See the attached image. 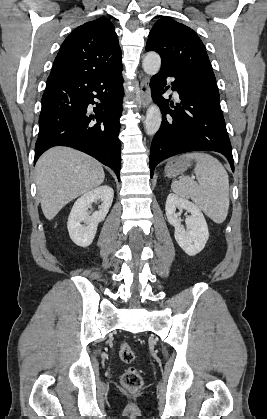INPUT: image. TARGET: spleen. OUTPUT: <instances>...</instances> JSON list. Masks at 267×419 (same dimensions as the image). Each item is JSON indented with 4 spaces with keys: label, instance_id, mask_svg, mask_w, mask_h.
<instances>
[{
    "label": "spleen",
    "instance_id": "3e777b00",
    "mask_svg": "<svg viewBox=\"0 0 267 419\" xmlns=\"http://www.w3.org/2000/svg\"><path fill=\"white\" fill-rule=\"evenodd\" d=\"M180 158L197 161L190 177L173 180L171 189L181 198L191 199L215 223L225 221L229 209V178L224 166L213 156L203 152L186 154Z\"/></svg>",
    "mask_w": 267,
    "mask_h": 419
}]
</instances>
